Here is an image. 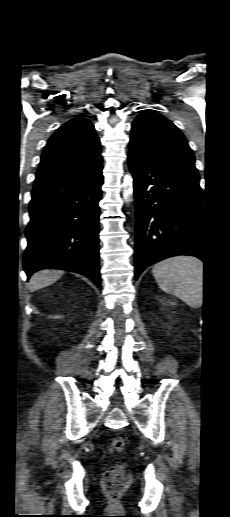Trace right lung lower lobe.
I'll list each match as a JSON object with an SVG mask.
<instances>
[{
	"label": "right lung lower lobe",
	"mask_w": 230,
	"mask_h": 517,
	"mask_svg": "<svg viewBox=\"0 0 230 517\" xmlns=\"http://www.w3.org/2000/svg\"><path fill=\"white\" fill-rule=\"evenodd\" d=\"M102 165L78 178L33 188L23 266L28 277L55 268L85 275L100 287L99 215Z\"/></svg>",
	"instance_id": "98d812e1"
}]
</instances>
